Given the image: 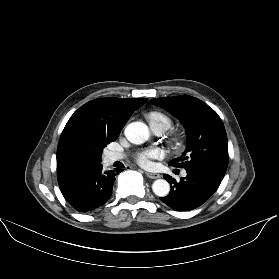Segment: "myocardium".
<instances>
[{
  "label": "myocardium",
  "mask_w": 279,
  "mask_h": 279,
  "mask_svg": "<svg viewBox=\"0 0 279 279\" xmlns=\"http://www.w3.org/2000/svg\"><path fill=\"white\" fill-rule=\"evenodd\" d=\"M170 139L173 146L180 147L183 143V133L180 131H174L172 132Z\"/></svg>",
  "instance_id": "1"
}]
</instances>
